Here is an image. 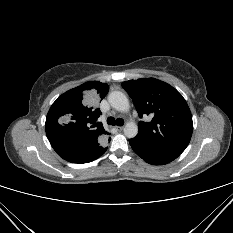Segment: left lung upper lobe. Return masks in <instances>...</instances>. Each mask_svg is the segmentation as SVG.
I'll return each instance as SVG.
<instances>
[{"label": "left lung upper lobe", "instance_id": "1", "mask_svg": "<svg viewBox=\"0 0 233 233\" xmlns=\"http://www.w3.org/2000/svg\"><path fill=\"white\" fill-rule=\"evenodd\" d=\"M122 87L132 98L140 117L153 116L150 122H139L135 139L152 148L181 154L193 131L191 112L182 95L154 78L126 81Z\"/></svg>", "mask_w": 233, "mask_h": 233}]
</instances>
